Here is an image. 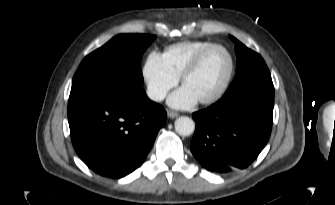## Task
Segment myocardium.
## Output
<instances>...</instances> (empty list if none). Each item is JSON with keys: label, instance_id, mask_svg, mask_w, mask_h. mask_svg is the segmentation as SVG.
<instances>
[{"label": "myocardium", "instance_id": "f54148a6", "mask_svg": "<svg viewBox=\"0 0 335 205\" xmlns=\"http://www.w3.org/2000/svg\"><path fill=\"white\" fill-rule=\"evenodd\" d=\"M214 49H222L223 51H225V53L228 55L229 57V61H230V68L228 71V74L225 78V80L223 81L222 85L219 87V89L212 94L211 96L198 100V102L200 104L203 105H208V104H212L217 102L219 99H221L224 94L227 92L232 79L234 77L235 74V69H236V63H235V58L232 54V52L229 50V48H227L225 45L222 44H218V43H213L210 46L202 49L194 58L193 60L188 64V66L184 69V71L182 72L180 78H181V83L182 85H184L185 81L192 75L194 74L199 67L201 66L204 58L206 57V55L211 52Z\"/></svg>", "mask_w": 335, "mask_h": 205}]
</instances>
